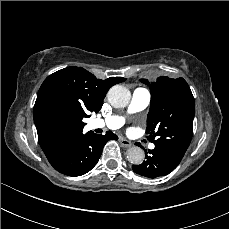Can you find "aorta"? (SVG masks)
<instances>
[{
    "label": "aorta",
    "instance_id": "obj_1",
    "mask_svg": "<svg viewBox=\"0 0 229 229\" xmlns=\"http://www.w3.org/2000/svg\"><path fill=\"white\" fill-rule=\"evenodd\" d=\"M109 103L115 108L126 107L131 99L130 91L122 85H114L108 91ZM128 161L134 165H139L144 161L145 154L142 148L132 146L127 150Z\"/></svg>",
    "mask_w": 229,
    "mask_h": 229
}]
</instances>
